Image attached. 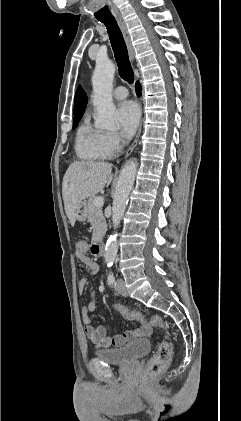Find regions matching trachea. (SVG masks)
Masks as SVG:
<instances>
[{
  "label": "trachea",
  "instance_id": "trachea-1",
  "mask_svg": "<svg viewBox=\"0 0 241 421\" xmlns=\"http://www.w3.org/2000/svg\"><path fill=\"white\" fill-rule=\"evenodd\" d=\"M101 21L107 28L109 34L110 43L114 51L115 60L118 65L119 75L122 79L128 83L134 82V73L129 61L127 47L122 35V32L116 22L113 19H101Z\"/></svg>",
  "mask_w": 241,
  "mask_h": 421
}]
</instances>
